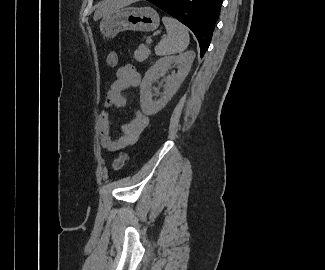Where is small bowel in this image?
<instances>
[{
	"label": "small bowel",
	"mask_w": 325,
	"mask_h": 270,
	"mask_svg": "<svg viewBox=\"0 0 325 270\" xmlns=\"http://www.w3.org/2000/svg\"><path fill=\"white\" fill-rule=\"evenodd\" d=\"M140 81V74L133 66H122L118 69L117 78L107 92L104 110L98 118V128L101 146L108 152H116L134 144L141 132L149 124L148 116L138 110L129 122L122 125L121 135L118 138L113 139L110 134L111 124L107 109L126 106L127 100L124 96V91L132 87H137Z\"/></svg>",
	"instance_id": "c3829d8e"
}]
</instances>
